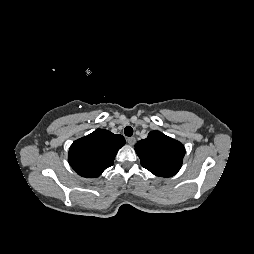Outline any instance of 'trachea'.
I'll use <instances>...</instances> for the list:
<instances>
[{
  "label": "trachea",
  "instance_id": "1",
  "mask_svg": "<svg viewBox=\"0 0 254 254\" xmlns=\"http://www.w3.org/2000/svg\"><path fill=\"white\" fill-rule=\"evenodd\" d=\"M124 133L126 136H132L133 135V128L131 126H127L124 129Z\"/></svg>",
  "mask_w": 254,
  "mask_h": 254
}]
</instances>
